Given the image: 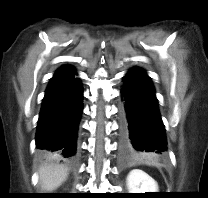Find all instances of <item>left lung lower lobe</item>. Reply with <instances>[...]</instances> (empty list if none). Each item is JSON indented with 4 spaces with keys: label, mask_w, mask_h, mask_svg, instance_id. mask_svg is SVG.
<instances>
[{
    "label": "left lung lower lobe",
    "mask_w": 208,
    "mask_h": 198,
    "mask_svg": "<svg viewBox=\"0 0 208 198\" xmlns=\"http://www.w3.org/2000/svg\"><path fill=\"white\" fill-rule=\"evenodd\" d=\"M120 153L124 158L162 156L167 150L155 89L146 72L134 67L123 78Z\"/></svg>",
    "instance_id": "1"
}]
</instances>
